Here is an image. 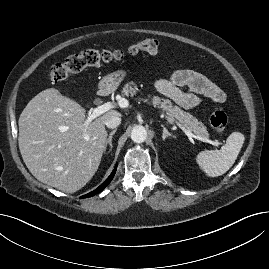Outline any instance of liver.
I'll use <instances>...</instances> for the list:
<instances>
[{"mask_svg":"<svg viewBox=\"0 0 269 269\" xmlns=\"http://www.w3.org/2000/svg\"><path fill=\"white\" fill-rule=\"evenodd\" d=\"M85 109L55 88L29 101L19 120L22 158L40 182L66 193L84 187L96 173L105 149L109 110L85 126Z\"/></svg>","mask_w":269,"mask_h":269,"instance_id":"obj_1","label":"liver"}]
</instances>
